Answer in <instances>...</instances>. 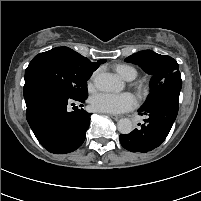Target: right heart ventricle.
I'll return each mask as SVG.
<instances>
[{"instance_id": "right-heart-ventricle-1", "label": "right heart ventricle", "mask_w": 201, "mask_h": 201, "mask_svg": "<svg viewBox=\"0 0 201 201\" xmlns=\"http://www.w3.org/2000/svg\"><path fill=\"white\" fill-rule=\"evenodd\" d=\"M115 71L121 78L126 81H131L138 75L136 68L129 64H118L115 66Z\"/></svg>"}]
</instances>
